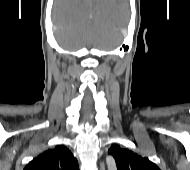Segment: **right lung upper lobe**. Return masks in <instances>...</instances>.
Returning <instances> with one entry per match:
<instances>
[{"instance_id": "obj_1", "label": "right lung upper lobe", "mask_w": 190, "mask_h": 170, "mask_svg": "<svg viewBox=\"0 0 190 170\" xmlns=\"http://www.w3.org/2000/svg\"><path fill=\"white\" fill-rule=\"evenodd\" d=\"M24 170H79L78 162L64 145H58L34 158Z\"/></svg>"}]
</instances>
